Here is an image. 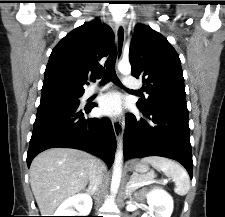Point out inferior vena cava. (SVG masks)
Listing matches in <instances>:
<instances>
[{
  "mask_svg": "<svg viewBox=\"0 0 225 217\" xmlns=\"http://www.w3.org/2000/svg\"><path fill=\"white\" fill-rule=\"evenodd\" d=\"M104 166L98 159H93L92 170L89 176V194L97 192L99 185L102 182Z\"/></svg>",
  "mask_w": 225,
  "mask_h": 217,
  "instance_id": "1",
  "label": "inferior vena cava"
}]
</instances>
